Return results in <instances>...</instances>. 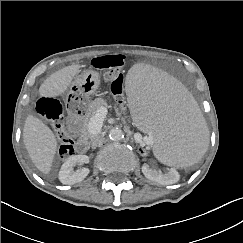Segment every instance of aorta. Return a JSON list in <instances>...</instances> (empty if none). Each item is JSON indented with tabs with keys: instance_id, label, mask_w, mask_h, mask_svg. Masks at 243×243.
Segmentation results:
<instances>
[{
	"instance_id": "1",
	"label": "aorta",
	"mask_w": 243,
	"mask_h": 243,
	"mask_svg": "<svg viewBox=\"0 0 243 243\" xmlns=\"http://www.w3.org/2000/svg\"><path fill=\"white\" fill-rule=\"evenodd\" d=\"M109 137L111 140L119 141L124 138V134L119 128H111L109 130Z\"/></svg>"
}]
</instances>
